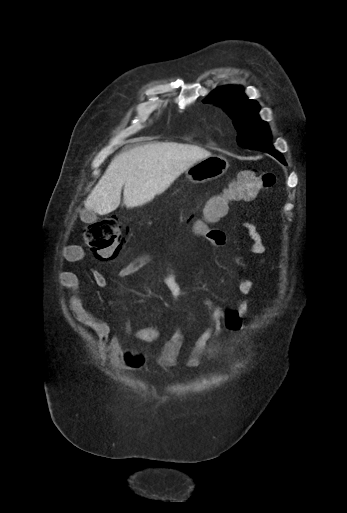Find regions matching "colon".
I'll return each mask as SVG.
<instances>
[{"mask_svg":"<svg viewBox=\"0 0 347 513\" xmlns=\"http://www.w3.org/2000/svg\"><path fill=\"white\" fill-rule=\"evenodd\" d=\"M275 180L272 172H239L222 193L207 200L203 218L195 224L194 230H203L223 219L228 213L231 201L253 200L261 191L271 188ZM84 236L99 260L116 259L124 244V228L116 217H108L88 225Z\"/></svg>","mask_w":347,"mask_h":513,"instance_id":"5ec220e1","label":"colon"}]
</instances>
